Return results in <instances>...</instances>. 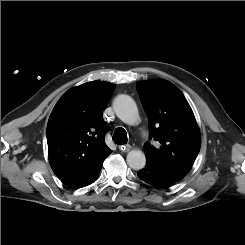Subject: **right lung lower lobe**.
I'll list each match as a JSON object with an SVG mask.
<instances>
[{"instance_id":"98d812e1","label":"right lung lower lobe","mask_w":245,"mask_h":245,"mask_svg":"<svg viewBox=\"0 0 245 245\" xmlns=\"http://www.w3.org/2000/svg\"><path fill=\"white\" fill-rule=\"evenodd\" d=\"M98 175L99 174H97L87 185H89V184H91L92 182H94L96 179H97V177H98ZM86 186V185H85Z\"/></svg>"}]
</instances>
